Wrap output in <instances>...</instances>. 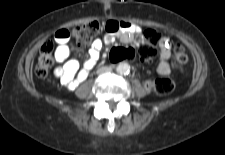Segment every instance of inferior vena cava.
<instances>
[{
  "mask_svg": "<svg viewBox=\"0 0 225 155\" xmlns=\"http://www.w3.org/2000/svg\"><path fill=\"white\" fill-rule=\"evenodd\" d=\"M111 71H112L111 67L103 66V67L99 68L97 72L100 74H106V73H110Z\"/></svg>",
  "mask_w": 225,
  "mask_h": 155,
  "instance_id": "602c4592",
  "label": "inferior vena cava"
}]
</instances>
